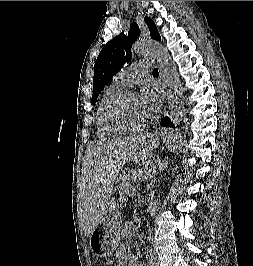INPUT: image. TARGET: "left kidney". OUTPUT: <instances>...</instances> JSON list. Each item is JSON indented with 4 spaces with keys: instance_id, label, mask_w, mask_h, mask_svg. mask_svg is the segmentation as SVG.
Wrapping results in <instances>:
<instances>
[{
    "instance_id": "obj_1",
    "label": "left kidney",
    "mask_w": 253,
    "mask_h": 266,
    "mask_svg": "<svg viewBox=\"0 0 253 266\" xmlns=\"http://www.w3.org/2000/svg\"><path fill=\"white\" fill-rule=\"evenodd\" d=\"M136 233V228L133 222H128L125 226V236L131 238Z\"/></svg>"
}]
</instances>
